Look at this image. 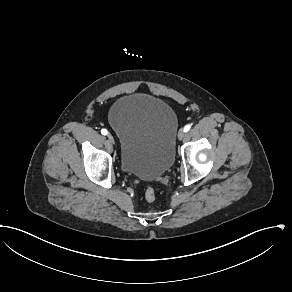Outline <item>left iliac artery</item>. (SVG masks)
<instances>
[{
  "label": "left iliac artery",
  "instance_id": "left-iliac-artery-1",
  "mask_svg": "<svg viewBox=\"0 0 292 292\" xmlns=\"http://www.w3.org/2000/svg\"><path fill=\"white\" fill-rule=\"evenodd\" d=\"M190 128H191V125H186L185 127H184V132H187V131H189L190 130Z\"/></svg>",
  "mask_w": 292,
  "mask_h": 292
}]
</instances>
